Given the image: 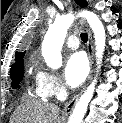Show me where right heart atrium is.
<instances>
[{"instance_id":"obj_1","label":"right heart atrium","mask_w":122,"mask_h":123,"mask_svg":"<svg viewBox=\"0 0 122 123\" xmlns=\"http://www.w3.org/2000/svg\"><path fill=\"white\" fill-rule=\"evenodd\" d=\"M36 82L47 97H61L65 93V87L58 76L47 70L37 72Z\"/></svg>"}]
</instances>
